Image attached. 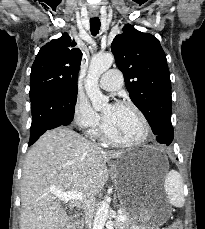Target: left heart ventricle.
I'll return each mask as SVG.
<instances>
[{"instance_id":"obj_1","label":"left heart ventricle","mask_w":205,"mask_h":229,"mask_svg":"<svg viewBox=\"0 0 205 229\" xmlns=\"http://www.w3.org/2000/svg\"><path fill=\"white\" fill-rule=\"evenodd\" d=\"M107 130L111 137L119 141H132L142 133V125L137 114L129 107L106 105L103 108Z\"/></svg>"}]
</instances>
